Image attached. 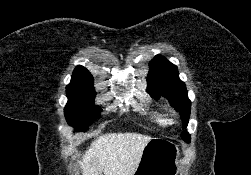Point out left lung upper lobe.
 <instances>
[{"label":"left lung upper lobe","mask_w":251,"mask_h":175,"mask_svg":"<svg viewBox=\"0 0 251 175\" xmlns=\"http://www.w3.org/2000/svg\"><path fill=\"white\" fill-rule=\"evenodd\" d=\"M147 92L158 99L163 96L180 113L183 126L186 127L190 115L191 102L188 99L185 83L179 79L177 67L165 57L157 55L149 64ZM182 139L190 141V135L183 132Z\"/></svg>","instance_id":"left-lung-upper-lobe-1"}]
</instances>
